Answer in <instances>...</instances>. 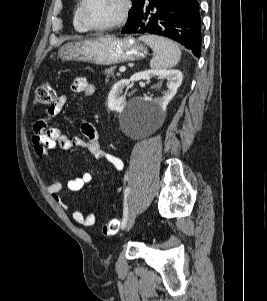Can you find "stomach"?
<instances>
[{
  "instance_id": "obj_1",
  "label": "stomach",
  "mask_w": 267,
  "mask_h": 301,
  "mask_svg": "<svg viewBox=\"0 0 267 301\" xmlns=\"http://www.w3.org/2000/svg\"><path fill=\"white\" fill-rule=\"evenodd\" d=\"M147 52V47L131 36H106L65 43L60 47L58 56L66 61L112 65L143 59Z\"/></svg>"
}]
</instances>
